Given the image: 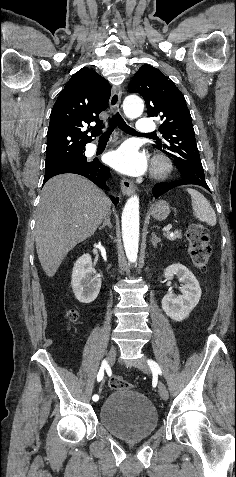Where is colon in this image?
<instances>
[{
  "mask_svg": "<svg viewBox=\"0 0 236 477\" xmlns=\"http://www.w3.org/2000/svg\"><path fill=\"white\" fill-rule=\"evenodd\" d=\"M187 240L189 243L188 252L189 256L198 268H203L207 265L210 255L211 246L209 244V233L205 226L202 224H194L187 230ZM78 313L75 309L67 311V319L70 322L76 321ZM108 384L112 389H131L132 385L125 379L119 376H112Z\"/></svg>",
  "mask_w": 236,
  "mask_h": 477,
  "instance_id": "colon-1",
  "label": "colon"
}]
</instances>
